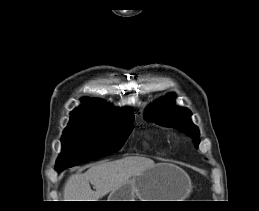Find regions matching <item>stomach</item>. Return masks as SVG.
<instances>
[{
	"instance_id": "obj_1",
	"label": "stomach",
	"mask_w": 259,
	"mask_h": 211,
	"mask_svg": "<svg viewBox=\"0 0 259 211\" xmlns=\"http://www.w3.org/2000/svg\"><path fill=\"white\" fill-rule=\"evenodd\" d=\"M189 191L185 172L172 164L158 163L111 191L108 201H182Z\"/></svg>"
}]
</instances>
